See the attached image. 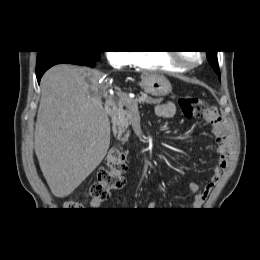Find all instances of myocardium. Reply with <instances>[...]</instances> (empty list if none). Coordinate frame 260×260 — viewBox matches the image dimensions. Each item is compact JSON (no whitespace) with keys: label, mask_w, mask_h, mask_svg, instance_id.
<instances>
[{"label":"myocardium","mask_w":260,"mask_h":260,"mask_svg":"<svg viewBox=\"0 0 260 260\" xmlns=\"http://www.w3.org/2000/svg\"><path fill=\"white\" fill-rule=\"evenodd\" d=\"M198 54H199V59L194 62L185 61L182 58L181 53L176 52V51L168 52L167 56H168L169 60L172 62V64H174L176 67L184 69V70H189V69L197 67L199 64L202 63L205 55L201 51L198 52Z\"/></svg>","instance_id":"f54148a6"}]
</instances>
